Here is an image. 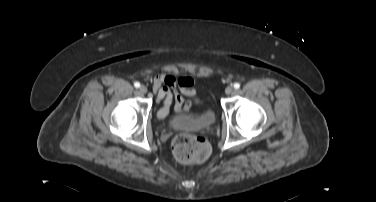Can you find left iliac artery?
Masks as SVG:
<instances>
[{
  "label": "left iliac artery",
  "instance_id": "obj_1",
  "mask_svg": "<svg viewBox=\"0 0 376 202\" xmlns=\"http://www.w3.org/2000/svg\"><path fill=\"white\" fill-rule=\"evenodd\" d=\"M234 88H235V89H239V88H240V84H239V83H235V84H234Z\"/></svg>",
  "mask_w": 376,
  "mask_h": 202
}]
</instances>
